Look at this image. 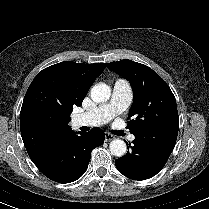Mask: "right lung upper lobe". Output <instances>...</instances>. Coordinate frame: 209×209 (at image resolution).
I'll use <instances>...</instances> for the list:
<instances>
[{
    "instance_id": "obj_1",
    "label": "right lung upper lobe",
    "mask_w": 209,
    "mask_h": 209,
    "mask_svg": "<svg viewBox=\"0 0 209 209\" xmlns=\"http://www.w3.org/2000/svg\"><path fill=\"white\" fill-rule=\"evenodd\" d=\"M104 63L84 64L61 62L42 70L30 84L20 112V130L26 150L32 161H36L59 140L70 133L71 127L64 120L47 121L31 110L32 89L40 79L50 81L80 106L95 79L105 68Z\"/></svg>"
}]
</instances>
